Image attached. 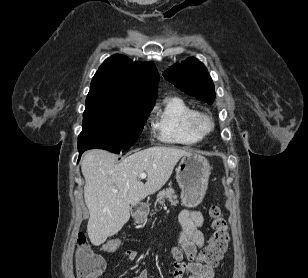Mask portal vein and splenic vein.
Returning <instances> with one entry per match:
<instances>
[{
	"label": "portal vein and splenic vein",
	"instance_id": "portal-vein-and-splenic-vein-1",
	"mask_svg": "<svg viewBox=\"0 0 308 278\" xmlns=\"http://www.w3.org/2000/svg\"><path fill=\"white\" fill-rule=\"evenodd\" d=\"M147 177V174L145 172H142L139 174V178L145 179Z\"/></svg>",
	"mask_w": 308,
	"mask_h": 278
}]
</instances>
